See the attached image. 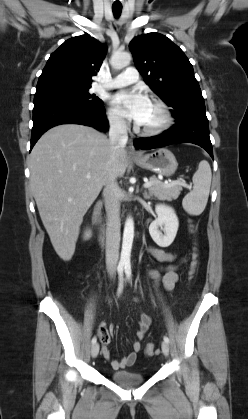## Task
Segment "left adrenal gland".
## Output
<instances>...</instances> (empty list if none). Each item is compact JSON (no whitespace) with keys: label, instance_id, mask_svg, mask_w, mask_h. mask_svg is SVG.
Instances as JSON below:
<instances>
[{"label":"left adrenal gland","instance_id":"obj_1","mask_svg":"<svg viewBox=\"0 0 248 419\" xmlns=\"http://www.w3.org/2000/svg\"><path fill=\"white\" fill-rule=\"evenodd\" d=\"M143 196H144V198H145V199H149V198H150V195H149V194H147V192H145V193L143 194Z\"/></svg>","mask_w":248,"mask_h":419}]
</instances>
